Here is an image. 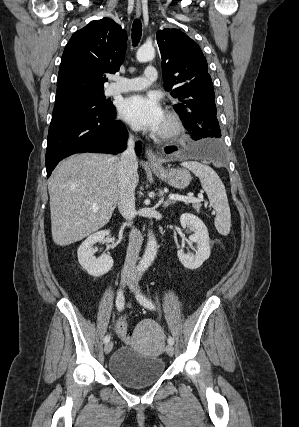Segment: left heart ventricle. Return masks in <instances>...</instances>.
Masks as SVG:
<instances>
[{
    "label": "left heart ventricle",
    "mask_w": 299,
    "mask_h": 427,
    "mask_svg": "<svg viewBox=\"0 0 299 427\" xmlns=\"http://www.w3.org/2000/svg\"><path fill=\"white\" fill-rule=\"evenodd\" d=\"M164 127H165V121H164V123H163V125H162L161 129H163ZM161 129H160V130H161Z\"/></svg>",
    "instance_id": "obj_1"
}]
</instances>
